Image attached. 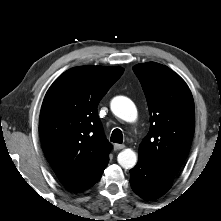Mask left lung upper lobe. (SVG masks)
Instances as JSON below:
<instances>
[{"label": "left lung upper lobe", "mask_w": 221, "mask_h": 221, "mask_svg": "<svg viewBox=\"0 0 221 221\" xmlns=\"http://www.w3.org/2000/svg\"><path fill=\"white\" fill-rule=\"evenodd\" d=\"M133 71L141 82L150 113V130L139 157L177 174L189 153L195 128L194 101L184 80L167 66L138 64Z\"/></svg>", "instance_id": "obj_1"}]
</instances>
